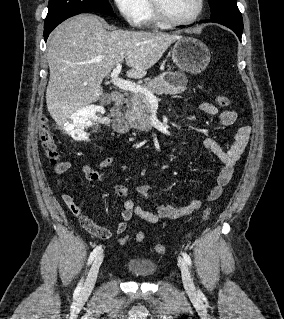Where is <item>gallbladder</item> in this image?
Returning a JSON list of instances; mask_svg holds the SVG:
<instances>
[{
    "mask_svg": "<svg viewBox=\"0 0 284 319\" xmlns=\"http://www.w3.org/2000/svg\"><path fill=\"white\" fill-rule=\"evenodd\" d=\"M109 101H110V95L108 93H103L100 96L99 102L101 104H107V103H109Z\"/></svg>",
    "mask_w": 284,
    "mask_h": 319,
    "instance_id": "1",
    "label": "gallbladder"
}]
</instances>
